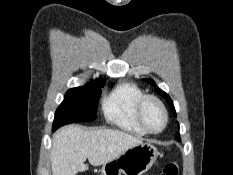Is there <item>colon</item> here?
I'll use <instances>...</instances> for the list:
<instances>
[{
  "mask_svg": "<svg viewBox=\"0 0 233 175\" xmlns=\"http://www.w3.org/2000/svg\"><path fill=\"white\" fill-rule=\"evenodd\" d=\"M160 175H179V166L177 162L172 161L166 164Z\"/></svg>",
  "mask_w": 233,
  "mask_h": 175,
  "instance_id": "5ec220e1",
  "label": "colon"
}]
</instances>
